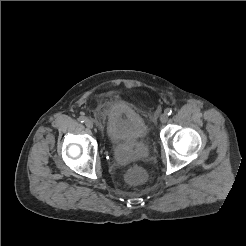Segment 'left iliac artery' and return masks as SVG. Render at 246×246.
<instances>
[{
  "instance_id": "obj_1",
  "label": "left iliac artery",
  "mask_w": 246,
  "mask_h": 246,
  "mask_svg": "<svg viewBox=\"0 0 246 246\" xmlns=\"http://www.w3.org/2000/svg\"><path fill=\"white\" fill-rule=\"evenodd\" d=\"M165 113L169 116V115H171L172 114V109L171 108H167L166 110H165Z\"/></svg>"
}]
</instances>
